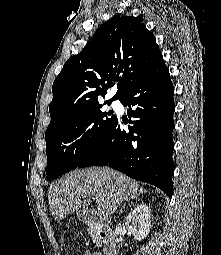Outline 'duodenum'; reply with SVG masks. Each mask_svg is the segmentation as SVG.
<instances>
[{
  "mask_svg": "<svg viewBox=\"0 0 221 255\" xmlns=\"http://www.w3.org/2000/svg\"><path fill=\"white\" fill-rule=\"evenodd\" d=\"M81 220L95 229L98 241L102 243L105 255H117V244L111 231L105 226L104 216L86 210L81 213Z\"/></svg>",
  "mask_w": 221,
  "mask_h": 255,
  "instance_id": "410a0bca",
  "label": "duodenum"
}]
</instances>
